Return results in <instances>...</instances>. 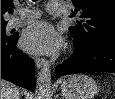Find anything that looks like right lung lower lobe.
<instances>
[{"label":"right lung lower lobe","instance_id":"obj_1","mask_svg":"<svg viewBox=\"0 0 115 99\" xmlns=\"http://www.w3.org/2000/svg\"><path fill=\"white\" fill-rule=\"evenodd\" d=\"M19 34L1 38V78L34 91L35 65L33 60L17 49Z\"/></svg>","mask_w":115,"mask_h":99}]
</instances>
